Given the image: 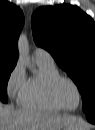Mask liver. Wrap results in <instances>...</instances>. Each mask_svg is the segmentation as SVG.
<instances>
[{
    "instance_id": "obj_1",
    "label": "liver",
    "mask_w": 95,
    "mask_h": 130,
    "mask_svg": "<svg viewBox=\"0 0 95 130\" xmlns=\"http://www.w3.org/2000/svg\"><path fill=\"white\" fill-rule=\"evenodd\" d=\"M76 122H79L77 118L68 114L0 106V130H61ZM83 125V129L89 130V126Z\"/></svg>"
}]
</instances>
